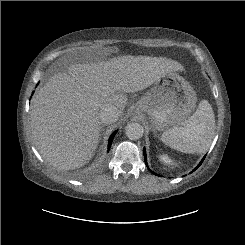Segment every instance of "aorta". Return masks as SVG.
Returning <instances> with one entry per match:
<instances>
[{
    "mask_svg": "<svg viewBox=\"0 0 245 245\" xmlns=\"http://www.w3.org/2000/svg\"><path fill=\"white\" fill-rule=\"evenodd\" d=\"M144 128L140 123H129L125 128V134L130 140H137L143 136Z\"/></svg>",
    "mask_w": 245,
    "mask_h": 245,
    "instance_id": "1",
    "label": "aorta"
}]
</instances>
